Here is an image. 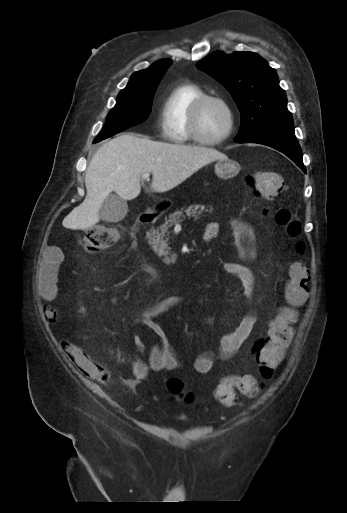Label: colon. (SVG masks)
Instances as JSON below:
<instances>
[{"label":"colon","instance_id":"5ec220e1","mask_svg":"<svg viewBox=\"0 0 347 513\" xmlns=\"http://www.w3.org/2000/svg\"><path fill=\"white\" fill-rule=\"evenodd\" d=\"M248 184L251 185L249 192L256 190L259 196L267 200L276 199L284 189L283 179L276 172H256L248 178ZM273 216L277 223L285 227L287 234L296 239L295 249L302 255L305 244L301 240L303 231L301 220L288 209H280L273 213ZM118 239L119 234L115 229L102 225L88 228L83 235L85 248L93 253L112 247ZM309 282L310 270L307 265L301 261L294 262L289 268L284 288L288 304L276 310L269 323L268 337L258 343L256 375L259 379L268 380L276 377L279 363L286 357L285 346L292 338L293 324L297 320L294 307L306 299ZM263 386L264 382L258 381L254 376H225L216 386L214 397L221 404L232 406L237 400L236 391L245 396L254 397ZM182 388L180 379L169 380L168 389L173 395L182 396L186 403H193V395L182 394Z\"/></svg>","mask_w":347,"mask_h":513}]
</instances>
